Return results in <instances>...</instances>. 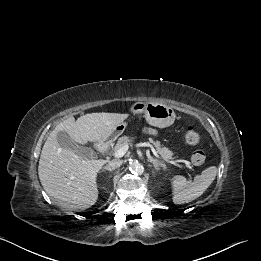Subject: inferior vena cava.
I'll list each match as a JSON object with an SVG mask.
<instances>
[{"label":"inferior vena cava","instance_id":"obj_1","mask_svg":"<svg viewBox=\"0 0 261 261\" xmlns=\"http://www.w3.org/2000/svg\"><path fill=\"white\" fill-rule=\"evenodd\" d=\"M121 165H122V160L120 159H114L108 163V166L113 169L119 168Z\"/></svg>","mask_w":261,"mask_h":261}]
</instances>
